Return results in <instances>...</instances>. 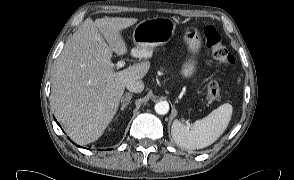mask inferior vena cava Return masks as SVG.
Masks as SVG:
<instances>
[{
  "instance_id": "inferior-vena-cava-1",
  "label": "inferior vena cava",
  "mask_w": 294,
  "mask_h": 180,
  "mask_svg": "<svg viewBox=\"0 0 294 180\" xmlns=\"http://www.w3.org/2000/svg\"><path fill=\"white\" fill-rule=\"evenodd\" d=\"M144 87L145 85L142 80H131L126 84V88L133 93H141Z\"/></svg>"
}]
</instances>
